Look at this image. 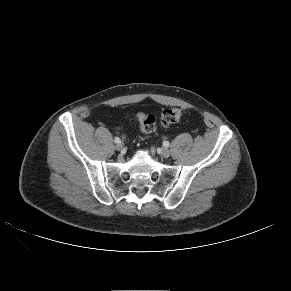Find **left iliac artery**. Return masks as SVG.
I'll use <instances>...</instances> for the list:
<instances>
[{"mask_svg":"<svg viewBox=\"0 0 291 291\" xmlns=\"http://www.w3.org/2000/svg\"><path fill=\"white\" fill-rule=\"evenodd\" d=\"M169 145H170V144H169L168 141H164V142H163V146H165V147H169Z\"/></svg>","mask_w":291,"mask_h":291,"instance_id":"1","label":"left iliac artery"}]
</instances>
